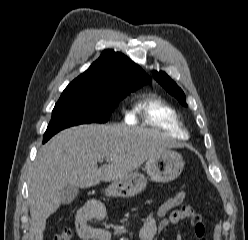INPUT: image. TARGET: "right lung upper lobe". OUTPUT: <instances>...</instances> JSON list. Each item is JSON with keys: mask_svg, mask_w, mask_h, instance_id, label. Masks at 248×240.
I'll return each instance as SVG.
<instances>
[{"mask_svg": "<svg viewBox=\"0 0 248 240\" xmlns=\"http://www.w3.org/2000/svg\"><path fill=\"white\" fill-rule=\"evenodd\" d=\"M131 80L147 83L151 81L150 77L125 55L105 50L89 69L74 79L65 90L111 88Z\"/></svg>", "mask_w": 248, "mask_h": 240, "instance_id": "1", "label": "right lung upper lobe"}]
</instances>
